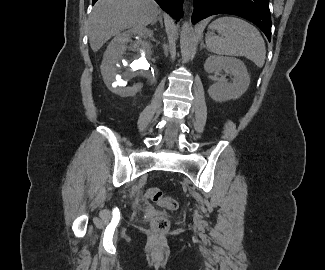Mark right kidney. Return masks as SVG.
Returning a JSON list of instances; mask_svg holds the SVG:
<instances>
[{
	"label": "right kidney",
	"mask_w": 325,
	"mask_h": 270,
	"mask_svg": "<svg viewBox=\"0 0 325 270\" xmlns=\"http://www.w3.org/2000/svg\"><path fill=\"white\" fill-rule=\"evenodd\" d=\"M151 38V30L132 28L117 35L109 43L101 64V73L106 86L113 93L122 97L134 96L145 83L153 79L156 68L152 64ZM130 81L133 84L128 86Z\"/></svg>",
	"instance_id": "ca27d5eb"
}]
</instances>
